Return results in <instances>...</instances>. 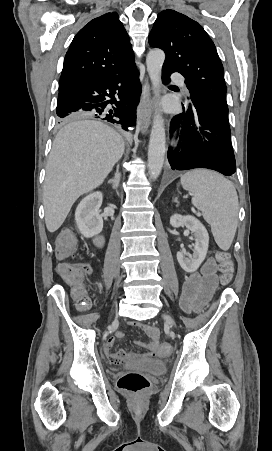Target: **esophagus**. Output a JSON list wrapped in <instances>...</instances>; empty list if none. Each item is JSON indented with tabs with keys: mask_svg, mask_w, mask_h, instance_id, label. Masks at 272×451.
<instances>
[{
	"mask_svg": "<svg viewBox=\"0 0 272 451\" xmlns=\"http://www.w3.org/2000/svg\"><path fill=\"white\" fill-rule=\"evenodd\" d=\"M151 113H152V97L150 92V86L144 85L143 93L141 96V101L137 107V117L141 121V132L147 133L148 128L151 123Z\"/></svg>",
	"mask_w": 272,
	"mask_h": 451,
	"instance_id": "34e87169",
	"label": "esophagus"
}]
</instances>
